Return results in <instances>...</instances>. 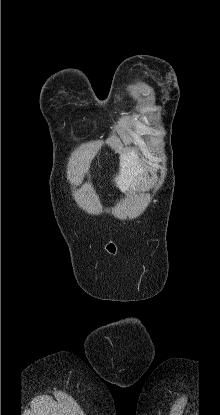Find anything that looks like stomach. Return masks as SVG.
I'll use <instances>...</instances> for the list:
<instances>
[{
  "label": "stomach",
  "mask_w": 220,
  "mask_h": 415,
  "mask_svg": "<svg viewBox=\"0 0 220 415\" xmlns=\"http://www.w3.org/2000/svg\"><path fill=\"white\" fill-rule=\"evenodd\" d=\"M141 180H142V177H141V176L137 177V179H136L135 183H134L133 185H131L129 188H130V189H135L136 187H139V186H140V181H141Z\"/></svg>",
  "instance_id": "obj_1"
}]
</instances>
